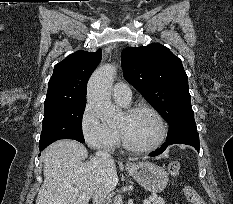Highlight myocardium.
Listing matches in <instances>:
<instances>
[{
  "mask_svg": "<svg viewBox=\"0 0 233 204\" xmlns=\"http://www.w3.org/2000/svg\"><path fill=\"white\" fill-rule=\"evenodd\" d=\"M140 111H147L151 113L158 122L159 130H160L159 137L152 145L146 147L135 146L132 143H130V141L128 140L124 131L121 128L116 127V130L119 135L120 141L126 150L133 153H149L158 149L164 143L168 133L167 126L163 116L155 108L146 104H136L129 106L124 110V114L127 116H132Z\"/></svg>",
  "mask_w": 233,
  "mask_h": 204,
  "instance_id": "myocardium-1",
  "label": "myocardium"
}]
</instances>
